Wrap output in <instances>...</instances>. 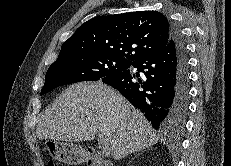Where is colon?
Listing matches in <instances>:
<instances>
[{
	"label": "colon",
	"instance_id": "colon-1",
	"mask_svg": "<svg viewBox=\"0 0 231 166\" xmlns=\"http://www.w3.org/2000/svg\"><path fill=\"white\" fill-rule=\"evenodd\" d=\"M49 166H54V164H53V163H50Z\"/></svg>",
	"mask_w": 231,
	"mask_h": 166
}]
</instances>
